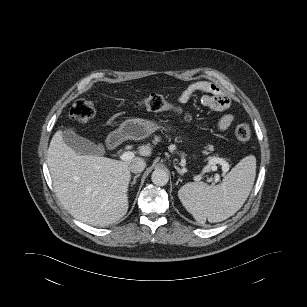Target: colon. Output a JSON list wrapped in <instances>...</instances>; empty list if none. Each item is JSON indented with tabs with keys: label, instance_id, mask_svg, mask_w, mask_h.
I'll use <instances>...</instances> for the list:
<instances>
[{
	"label": "colon",
	"instance_id": "obj_1",
	"mask_svg": "<svg viewBox=\"0 0 307 307\" xmlns=\"http://www.w3.org/2000/svg\"><path fill=\"white\" fill-rule=\"evenodd\" d=\"M135 105L143 107L152 112L176 111L180 109L176 105L168 102L164 97L158 94H149L139 96L135 100ZM96 105L93 101L87 99L77 100L70 109V117L73 121L85 123L95 114ZM189 120L190 117L186 116ZM234 134L239 141L246 142L251 138V130L246 123H239L234 130Z\"/></svg>",
	"mask_w": 307,
	"mask_h": 307
}]
</instances>
